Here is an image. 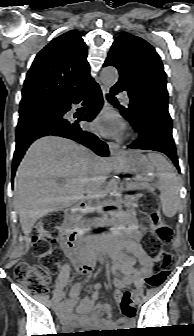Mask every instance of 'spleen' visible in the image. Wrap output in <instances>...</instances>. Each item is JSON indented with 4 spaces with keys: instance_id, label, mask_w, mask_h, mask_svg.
Segmentation results:
<instances>
[{
    "instance_id": "spleen-1",
    "label": "spleen",
    "mask_w": 194,
    "mask_h": 336,
    "mask_svg": "<svg viewBox=\"0 0 194 336\" xmlns=\"http://www.w3.org/2000/svg\"><path fill=\"white\" fill-rule=\"evenodd\" d=\"M148 158L157 169L163 214L167 217H173L178 210L180 180L173 172L172 165L163 155L151 152L148 154Z\"/></svg>"
}]
</instances>
